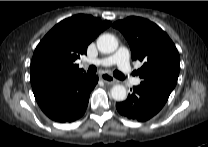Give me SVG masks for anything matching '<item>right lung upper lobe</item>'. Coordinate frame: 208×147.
Listing matches in <instances>:
<instances>
[{"label":"right lung upper lobe","instance_id":"obj_1","mask_svg":"<svg viewBox=\"0 0 208 147\" xmlns=\"http://www.w3.org/2000/svg\"><path fill=\"white\" fill-rule=\"evenodd\" d=\"M111 23L78 14L59 22L36 47L30 69L34 96L61 89L86 73L74 62Z\"/></svg>","mask_w":208,"mask_h":147}]
</instances>
